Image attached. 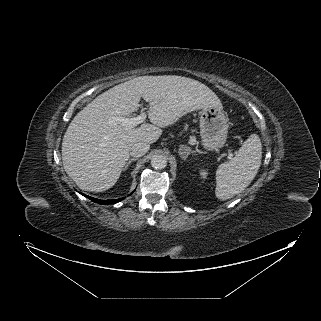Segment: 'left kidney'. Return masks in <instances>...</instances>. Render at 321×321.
Here are the masks:
<instances>
[{
    "label": "left kidney",
    "mask_w": 321,
    "mask_h": 321,
    "mask_svg": "<svg viewBox=\"0 0 321 321\" xmlns=\"http://www.w3.org/2000/svg\"><path fill=\"white\" fill-rule=\"evenodd\" d=\"M199 174L203 179H205L207 177V175H208V172L206 170H204V169H200L199 170Z\"/></svg>",
    "instance_id": "obj_1"
}]
</instances>
